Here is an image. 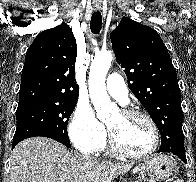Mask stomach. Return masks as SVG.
Segmentation results:
<instances>
[{
	"instance_id": "obj_1",
	"label": "stomach",
	"mask_w": 196,
	"mask_h": 182,
	"mask_svg": "<svg viewBox=\"0 0 196 182\" xmlns=\"http://www.w3.org/2000/svg\"><path fill=\"white\" fill-rule=\"evenodd\" d=\"M139 170L147 175V182L167 179L174 171L171 158L163 154H155L140 164Z\"/></svg>"
}]
</instances>
